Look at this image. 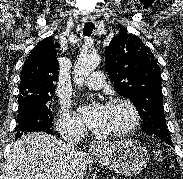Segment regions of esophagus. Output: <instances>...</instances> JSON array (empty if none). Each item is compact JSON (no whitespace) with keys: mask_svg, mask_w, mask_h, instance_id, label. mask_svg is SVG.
Listing matches in <instances>:
<instances>
[{"mask_svg":"<svg viewBox=\"0 0 183 179\" xmlns=\"http://www.w3.org/2000/svg\"><path fill=\"white\" fill-rule=\"evenodd\" d=\"M101 145L97 142L92 143L91 145V151L96 152L100 149Z\"/></svg>","mask_w":183,"mask_h":179,"instance_id":"34e87169","label":"esophagus"}]
</instances>
